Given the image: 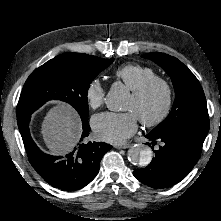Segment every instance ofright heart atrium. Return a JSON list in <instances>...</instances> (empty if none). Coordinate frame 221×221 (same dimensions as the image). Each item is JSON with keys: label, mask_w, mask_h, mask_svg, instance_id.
Listing matches in <instances>:
<instances>
[{"label": "right heart atrium", "mask_w": 221, "mask_h": 221, "mask_svg": "<svg viewBox=\"0 0 221 221\" xmlns=\"http://www.w3.org/2000/svg\"><path fill=\"white\" fill-rule=\"evenodd\" d=\"M86 98L91 108L97 109L101 107L105 101V89L98 79H93L87 89Z\"/></svg>", "instance_id": "obj_1"}]
</instances>
